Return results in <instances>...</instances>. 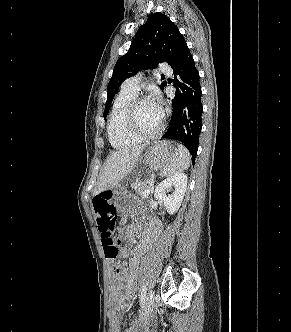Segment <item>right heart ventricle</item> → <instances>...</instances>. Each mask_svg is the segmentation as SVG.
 I'll use <instances>...</instances> for the list:
<instances>
[{
	"label": "right heart ventricle",
	"mask_w": 291,
	"mask_h": 332,
	"mask_svg": "<svg viewBox=\"0 0 291 332\" xmlns=\"http://www.w3.org/2000/svg\"><path fill=\"white\" fill-rule=\"evenodd\" d=\"M135 97V93L122 89L113 102L107 124V134L109 142L114 148L132 146L141 141L132 136L126 128L127 110Z\"/></svg>",
	"instance_id": "e07e8e85"
}]
</instances>
